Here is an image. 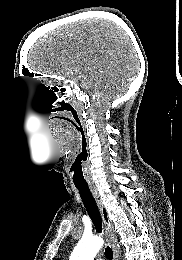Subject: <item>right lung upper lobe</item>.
<instances>
[{
    "label": "right lung upper lobe",
    "mask_w": 182,
    "mask_h": 260,
    "mask_svg": "<svg viewBox=\"0 0 182 260\" xmlns=\"http://www.w3.org/2000/svg\"><path fill=\"white\" fill-rule=\"evenodd\" d=\"M103 211H104L105 219L107 220L106 212H105V210H103Z\"/></svg>",
    "instance_id": "1"
}]
</instances>
